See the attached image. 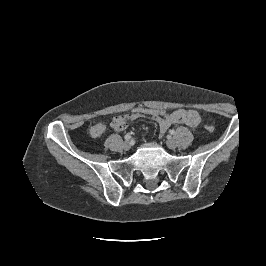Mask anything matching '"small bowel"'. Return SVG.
Returning a JSON list of instances; mask_svg holds the SVG:
<instances>
[{
  "label": "small bowel",
  "mask_w": 266,
  "mask_h": 266,
  "mask_svg": "<svg viewBox=\"0 0 266 266\" xmlns=\"http://www.w3.org/2000/svg\"><path fill=\"white\" fill-rule=\"evenodd\" d=\"M138 118L130 114L115 116L111 121V127L115 131H123L126 129L128 122ZM158 123L161 135H163L174 124H185L191 128H195L200 123V116L197 111L192 109H178L164 117L152 118ZM105 125L103 123H96L90 128V135L93 138H98L105 132Z\"/></svg>",
  "instance_id": "1"
}]
</instances>
